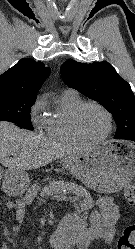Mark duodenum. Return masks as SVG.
<instances>
[{"label":"duodenum","mask_w":135,"mask_h":249,"mask_svg":"<svg viewBox=\"0 0 135 249\" xmlns=\"http://www.w3.org/2000/svg\"><path fill=\"white\" fill-rule=\"evenodd\" d=\"M89 239H90V237L87 235L80 236L79 237V245H81L83 247V249H85V246L87 245ZM70 244H71V241H67L66 242L67 247L65 249H70Z\"/></svg>","instance_id":"1"}]
</instances>
